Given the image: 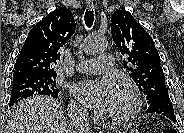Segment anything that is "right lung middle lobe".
<instances>
[{
  "label": "right lung middle lobe",
  "instance_id": "right-lung-middle-lobe-1",
  "mask_svg": "<svg viewBox=\"0 0 184 133\" xmlns=\"http://www.w3.org/2000/svg\"><path fill=\"white\" fill-rule=\"evenodd\" d=\"M55 78L56 76H20L13 78L9 107L19 100L33 95H51L58 98L59 90L56 88Z\"/></svg>",
  "mask_w": 184,
  "mask_h": 133
}]
</instances>
